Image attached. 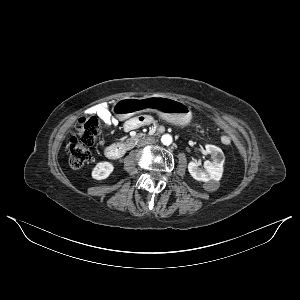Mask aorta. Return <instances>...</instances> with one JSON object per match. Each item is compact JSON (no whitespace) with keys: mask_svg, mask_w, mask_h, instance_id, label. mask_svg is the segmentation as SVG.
<instances>
[{"mask_svg":"<svg viewBox=\"0 0 300 300\" xmlns=\"http://www.w3.org/2000/svg\"><path fill=\"white\" fill-rule=\"evenodd\" d=\"M161 142L164 145H170L172 143V136L170 134H163L161 137Z\"/></svg>","mask_w":300,"mask_h":300,"instance_id":"obj_1","label":"aorta"}]
</instances>
